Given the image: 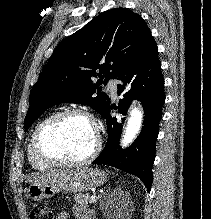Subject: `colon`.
Wrapping results in <instances>:
<instances>
[{
  "mask_svg": "<svg viewBox=\"0 0 211 219\" xmlns=\"http://www.w3.org/2000/svg\"><path fill=\"white\" fill-rule=\"evenodd\" d=\"M30 219H53V214L48 208L32 205Z\"/></svg>",
  "mask_w": 211,
  "mask_h": 219,
  "instance_id": "obj_1",
  "label": "colon"
}]
</instances>
